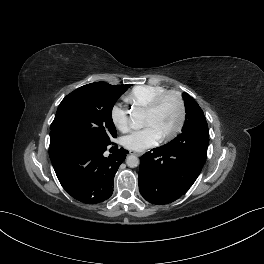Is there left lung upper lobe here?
<instances>
[{
    "mask_svg": "<svg viewBox=\"0 0 264 264\" xmlns=\"http://www.w3.org/2000/svg\"><path fill=\"white\" fill-rule=\"evenodd\" d=\"M183 97L185 100L186 120L182 133L168 144L182 142L185 137L195 135L198 131L208 127L203 111L197 102L187 93H183Z\"/></svg>",
    "mask_w": 264,
    "mask_h": 264,
    "instance_id": "obj_1",
    "label": "left lung upper lobe"
}]
</instances>
